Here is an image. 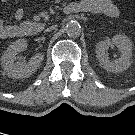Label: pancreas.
<instances>
[{
    "instance_id": "cf45deb5",
    "label": "pancreas",
    "mask_w": 135,
    "mask_h": 135,
    "mask_svg": "<svg viewBox=\"0 0 135 135\" xmlns=\"http://www.w3.org/2000/svg\"><path fill=\"white\" fill-rule=\"evenodd\" d=\"M22 26L28 28L30 33H36L40 31L38 24L33 22L26 21L22 23Z\"/></svg>"
}]
</instances>
